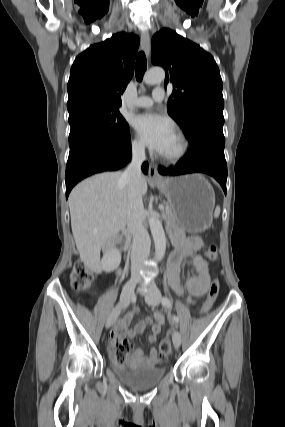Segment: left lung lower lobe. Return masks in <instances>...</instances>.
I'll use <instances>...</instances> for the list:
<instances>
[{"instance_id":"obj_1","label":"left lung lower lobe","mask_w":285,"mask_h":427,"mask_svg":"<svg viewBox=\"0 0 285 427\" xmlns=\"http://www.w3.org/2000/svg\"><path fill=\"white\" fill-rule=\"evenodd\" d=\"M187 156L170 169L160 167L162 175H182L201 172L213 176L226 194L227 164L224 156L225 138L223 134L204 132L190 142Z\"/></svg>"}]
</instances>
